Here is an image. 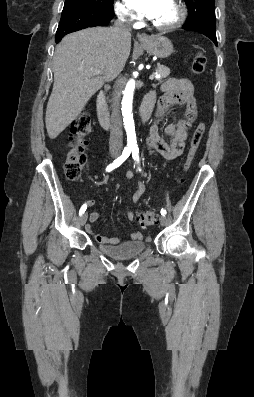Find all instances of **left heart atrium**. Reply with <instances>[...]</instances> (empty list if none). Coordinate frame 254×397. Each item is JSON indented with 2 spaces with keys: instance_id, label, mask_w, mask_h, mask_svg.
Instances as JSON below:
<instances>
[{
  "instance_id": "39dd6f15",
  "label": "left heart atrium",
  "mask_w": 254,
  "mask_h": 397,
  "mask_svg": "<svg viewBox=\"0 0 254 397\" xmlns=\"http://www.w3.org/2000/svg\"><path fill=\"white\" fill-rule=\"evenodd\" d=\"M127 2L133 9L152 18L159 10L163 0H127Z\"/></svg>"
}]
</instances>
